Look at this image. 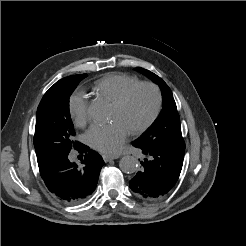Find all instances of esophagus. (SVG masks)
Listing matches in <instances>:
<instances>
[{
    "mask_svg": "<svg viewBox=\"0 0 246 246\" xmlns=\"http://www.w3.org/2000/svg\"><path fill=\"white\" fill-rule=\"evenodd\" d=\"M103 160L105 162H109L111 160L117 159L119 156L118 155H108V154H104L103 156Z\"/></svg>",
    "mask_w": 246,
    "mask_h": 246,
    "instance_id": "obj_1",
    "label": "esophagus"
}]
</instances>
